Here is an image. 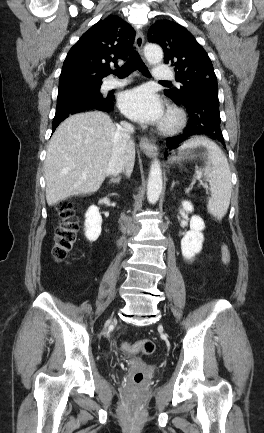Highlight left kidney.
<instances>
[{
	"label": "left kidney",
	"mask_w": 264,
	"mask_h": 433,
	"mask_svg": "<svg viewBox=\"0 0 264 433\" xmlns=\"http://www.w3.org/2000/svg\"><path fill=\"white\" fill-rule=\"evenodd\" d=\"M183 209L186 212L193 211V205L188 201L182 202ZM205 224L201 217L192 216L190 220V231L186 232L181 240L182 255L185 259L191 260L196 254L202 250L204 241V230Z\"/></svg>",
	"instance_id": "obj_1"
}]
</instances>
